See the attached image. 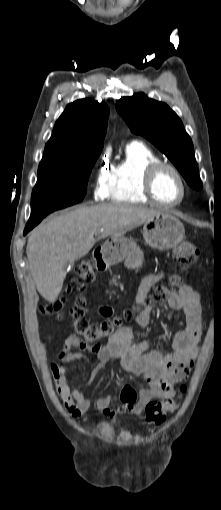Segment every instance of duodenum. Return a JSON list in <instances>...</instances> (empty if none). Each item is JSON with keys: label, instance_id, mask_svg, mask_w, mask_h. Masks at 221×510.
Listing matches in <instances>:
<instances>
[{"label": "duodenum", "instance_id": "obj_1", "mask_svg": "<svg viewBox=\"0 0 221 510\" xmlns=\"http://www.w3.org/2000/svg\"><path fill=\"white\" fill-rule=\"evenodd\" d=\"M95 267L98 271H104L107 267V261L102 248H98L94 252Z\"/></svg>", "mask_w": 221, "mask_h": 510}]
</instances>
